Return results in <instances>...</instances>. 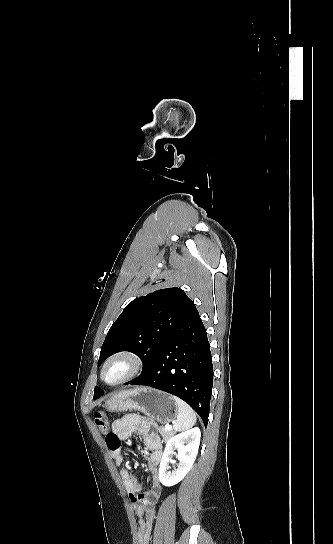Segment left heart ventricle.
I'll list each match as a JSON object with an SVG mask.
<instances>
[{"label":"left heart ventricle","mask_w":333,"mask_h":544,"mask_svg":"<svg viewBox=\"0 0 333 544\" xmlns=\"http://www.w3.org/2000/svg\"><path fill=\"white\" fill-rule=\"evenodd\" d=\"M127 369H128V365L126 362H123V361L115 362L107 368L105 372V377L107 381L115 382L119 380L122 376H124Z\"/></svg>","instance_id":"b2bd125f"}]
</instances>
